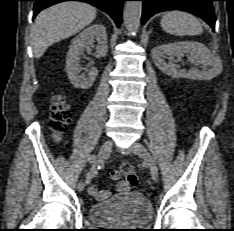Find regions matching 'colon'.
Segmentation results:
<instances>
[{
    "instance_id": "obj_1",
    "label": "colon",
    "mask_w": 234,
    "mask_h": 231,
    "mask_svg": "<svg viewBox=\"0 0 234 231\" xmlns=\"http://www.w3.org/2000/svg\"><path fill=\"white\" fill-rule=\"evenodd\" d=\"M70 119L71 113L64 97L57 93L51 102V118L49 122L50 128L54 132L55 136L59 137L65 133ZM122 176L131 186H135L138 182L136 171L129 163L122 164L120 169L112 172L111 175L113 180H118Z\"/></svg>"
}]
</instances>
